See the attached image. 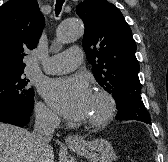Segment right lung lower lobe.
Listing matches in <instances>:
<instances>
[{
  "label": "right lung lower lobe",
  "mask_w": 168,
  "mask_h": 162,
  "mask_svg": "<svg viewBox=\"0 0 168 162\" xmlns=\"http://www.w3.org/2000/svg\"><path fill=\"white\" fill-rule=\"evenodd\" d=\"M33 109V108H32ZM30 108L0 103V122L25 126L30 121Z\"/></svg>",
  "instance_id": "98d812e1"
}]
</instances>
